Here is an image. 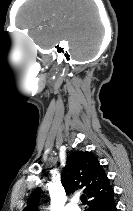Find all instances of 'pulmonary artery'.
Masks as SVG:
<instances>
[{"label":"pulmonary artery","instance_id":"pulmonary-artery-1","mask_svg":"<svg viewBox=\"0 0 133 211\" xmlns=\"http://www.w3.org/2000/svg\"><path fill=\"white\" fill-rule=\"evenodd\" d=\"M77 200L76 199H73L71 200V202H69L64 211H81L80 208L77 206Z\"/></svg>","mask_w":133,"mask_h":211}]
</instances>
